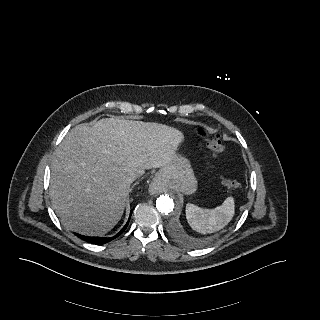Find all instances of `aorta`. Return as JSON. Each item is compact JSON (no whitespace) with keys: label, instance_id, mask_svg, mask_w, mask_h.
<instances>
[{"label":"aorta","instance_id":"obj_1","mask_svg":"<svg viewBox=\"0 0 320 320\" xmlns=\"http://www.w3.org/2000/svg\"><path fill=\"white\" fill-rule=\"evenodd\" d=\"M174 199L171 195H160L156 200L157 210L162 214H169L174 210Z\"/></svg>","mask_w":320,"mask_h":320}]
</instances>
